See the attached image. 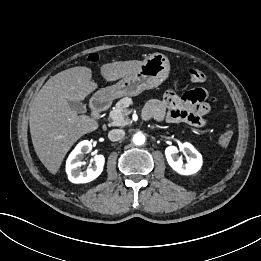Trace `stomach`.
Segmentation results:
<instances>
[{"instance_id": "1", "label": "stomach", "mask_w": 261, "mask_h": 261, "mask_svg": "<svg viewBox=\"0 0 261 261\" xmlns=\"http://www.w3.org/2000/svg\"><path fill=\"white\" fill-rule=\"evenodd\" d=\"M170 63L161 53H153L142 61L133 73L117 83L99 90L95 96L114 100L123 96H137L144 90L156 88L168 78Z\"/></svg>"}]
</instances>
